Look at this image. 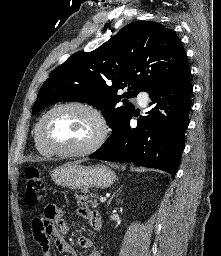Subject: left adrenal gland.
I'll return each instance as SVG.
<instances>
[{"label":"left adrenal gland","mask_w":221,"mask_h":256,"mask_svg":"<svg viewBox=\"0 0 221 256\" xmlns=\"http://www.w3.org/2000/svg\"><path fill=\"white\" fill-rule=\"evenodd\" d=\"M122 187H123V185H122L116 192L113 193V195L111 196V198L109 199V201H108V203H107V206L110 205V203H111L112 199L114 198L115 194H116L117 192L121 191V188H122Z\"/></svg>","instance_id":"obj_1"}]
</instances>
